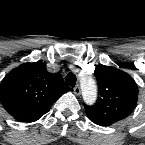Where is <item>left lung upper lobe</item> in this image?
Wrapping results in <instances>:
<instances>
[{
  "label": "left lung upper lobe",
  "instance_id": "left-lung-upper-lobe-1",
  "mask_svg": "<svg viewBox=\"0 0 145 145\" xmlns=\"http://www.w3.org/2000/svg\"><path fill=\"white\" fill-rule=\"evenodd\" d=\"M94 72L99 97L92 106L84 104L88 118L97 125L110 126L128 117L138 99V87L133 78L109 66H97Z\"/></svg>",
  "mask_w": 145,
  "mask_h": 145
}]
</instances>
